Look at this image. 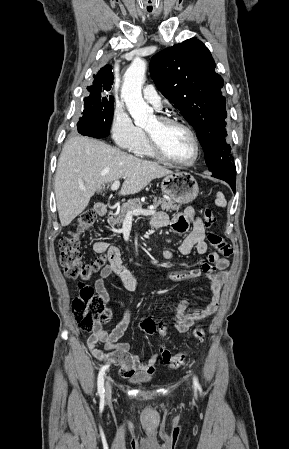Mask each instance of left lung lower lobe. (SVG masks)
Segmentation results:
<instances>
[{
  "label": "left lung lower lobe",
  "mask_w": 289,
  "mask_h": 449,
  "mask_svg": "<svg viewBox=\"0 0 289 449\" xmlns=\"http://www.w3.org/2000/svg\"><path fill=\"white\" fill-rule=\"evenodd\" d=\"M219 179H221V178H219ZM222 180H224L227 183H229V185L231 186L233 192H235V179H225V178H223Z\"/></svg>",
  "instance_id": "obj_1"
}]
</instances>
